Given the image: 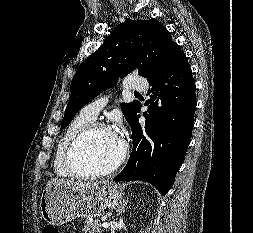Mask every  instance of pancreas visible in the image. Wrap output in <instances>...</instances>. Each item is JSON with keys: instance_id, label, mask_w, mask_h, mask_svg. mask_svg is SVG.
Here are the masks:
<instances>
[{"instance_id": "pancreas-1", "label": "pancreas", "mask_w": 253, "mask_h": 233, "mask_svg": "<svg viewBox=\"0 0 253 233\" xmlns=\"http://www.w3.org/2000/svg\"><path fill=\"white\" fill-rule=\"evenodd\" d=\"M85 233H102L103 229L100 224H98V220H85L84 221V229Z\"/></svg>"}]
</instances>
